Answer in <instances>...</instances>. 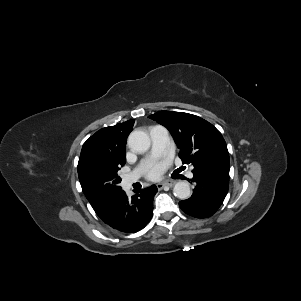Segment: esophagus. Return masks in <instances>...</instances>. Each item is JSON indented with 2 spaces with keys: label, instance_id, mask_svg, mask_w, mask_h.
I'll use <instances>...</instances> for the list:
<instances>
[{
  "label": "esophagus",
  "instance_id": "34e87169",
  "mask_svg": "<svg viewBox=\"0 0 301 301\" xmlns=\"http://www.w3.org/2000/svg\"><path fill=\"white\" fill-rule=\"evenodd\" d=\"M174 184H175L174 181H167V182H164V183H158L157 187H158V189H162L164 187H173Z\"/></svg>",
  "mask_w": 301,
  "mask_h": 301
}]
</instances>
